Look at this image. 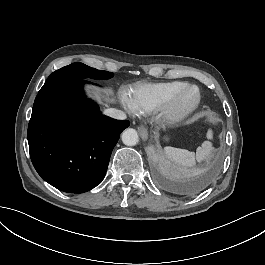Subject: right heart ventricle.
<instances>
[{"instance_id": "obj_1", "label": "right heart ventricle", "mask_w": 265, "mask_h": 265, "mask_svg": "<svg viewBox=\"0 0 265 265\" xmlns=\"http://www.w3.org/2000/svg\"><path fill=\"white\" fill-rule=\"evenodd\" d=\"M185 80L174 79L157 83H141L130 88L128 104L136 115H147L163 107L174 96Z\"/></svg>"}]
</instances>
